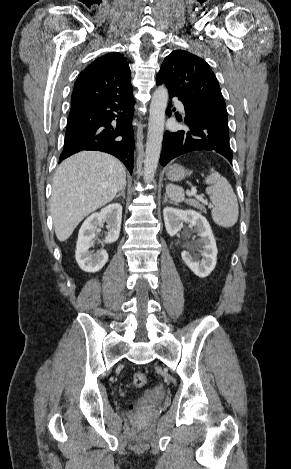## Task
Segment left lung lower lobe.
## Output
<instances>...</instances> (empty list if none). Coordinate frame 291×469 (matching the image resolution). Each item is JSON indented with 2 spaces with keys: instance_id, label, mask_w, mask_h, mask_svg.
<instances>
[{
  "instance_id": "0a47b994",
  "label": "left lung lower lobe",
  "mask_w": 291,
  "mask_h": 469,
  "mask_svg": "<svg viewBox=\"0 0 291 469\" xmlns=\"http://www.w3.org/2000/svg\"><path fill=\"white\" fill-rule=\"evenodd\" d=\"M170 98L176 95L169 93ZM184 104L187 130L166 131L160 164L164 167L173 158L195 150L215 151L232 163V151L229 144L228 118L205 110L194 103L178 97ZM171 115V102L166 110Z\"/></svg>"
}]
</instances>
